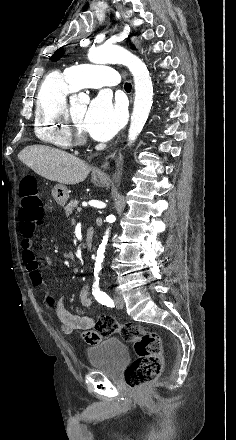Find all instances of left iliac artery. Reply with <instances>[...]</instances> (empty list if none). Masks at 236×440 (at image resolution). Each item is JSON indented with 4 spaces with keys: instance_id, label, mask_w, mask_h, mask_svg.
Masks as SVG:
<instances>
[{
    "instance_id": "1",
    "label": "left iliac artery",
    "mask_w": 236,
    "mask_h": 440,
    "mask_svg": "<svg viewBox=\"0 0 236 440\" xmlns=\"http://www.w3.org/2000/svg\"><path fill=\"white\" fill-rule=\"evenodd\" d=\"M92 294L100 304L107 307H115L113 300L105 292L101 291L98 285H93Z\"/></svg>"
}]
</instances>
